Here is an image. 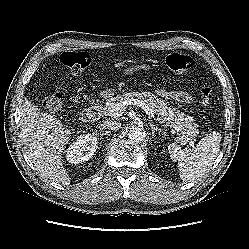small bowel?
<instances>
[{
    "label": "small bowel",
    "instance_id": "c3829d8e",
    "mask_svg": "<svg viewBox=\"0 0 249 249\" xmlns=\"http://www.w3.org/2000/svg\"><path fill=\"white\" fill-rule=\"evenodd\" d=\"M158 95L165 99L174 100L184 104H189L192 102L191 95L184 91L160 89L158 91Z\"/></svg>",
    "mask_w": 249,
    "mask_h": 249
}]
</instances>
